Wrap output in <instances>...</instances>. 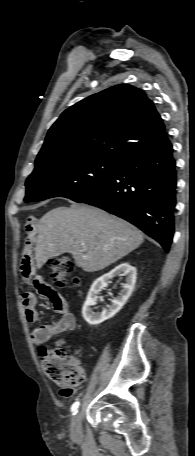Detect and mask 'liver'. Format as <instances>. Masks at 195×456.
<instances>
[{
	"mask_svg": "<svg viewBox=\"0 0 195 456\" xmlns=\"http://www.w3.org/2000/svg\"><path fill=\"white\" fill-rule=\"evenodd\" d=\"M37 230L35 260L39 269L49 259L70 253L77 267L100 271L144 240L142 232L129 222L88 205L52 209L40 219Z\"/></svg>",
	"mask_w": 195,
	"mask_h": 456,
	"instance_id": "liver-1",
	"label": "liver"
}]
</instances>
